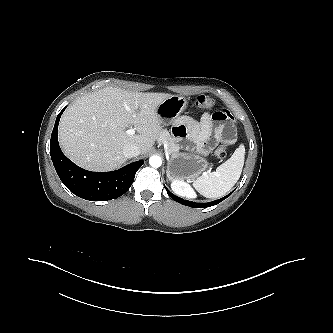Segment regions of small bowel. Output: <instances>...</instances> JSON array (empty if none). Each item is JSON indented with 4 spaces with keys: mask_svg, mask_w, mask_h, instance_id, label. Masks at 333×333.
Segmentation results:
<instances>
[{
    "mask_svg": "<svg viewBox=\"0 0 333 333\" xmlns=\"http://www.w3.org/2000/svg\"><path fill=\"white\" fill-rule=\"evenodd\" d=\"M174 133L180 139L189 141L193 149L201 154L212 150L225 134L230 142L234 138L231 115L226 109L213 114L204 113L200 123L182 116L175 121Z\"/></svg>",
    "mask_w": 333,
    "mask_h": 333,
    "instance_id": "1",
    "label": "small bowel"
}]
</instances>
